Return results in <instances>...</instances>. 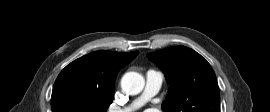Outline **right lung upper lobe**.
I'll use <instances>...</instances> for the list:
<instances>
[{
	"mask_svg": "<svg viewBox=\"0 0 270 112\" xmlns=\"http://www.w3.org/2000/svg\"><path fill=\"white\" fill-rule=\"evenodd\" d=\"M137 55V51L118 53L102 50L78 58L60 72L52 94L64 88H73L89 94L113 96L119 70Z\"/></svg>",
	"mask_w": 270,
	"mask_h": 112,
	"instance_id": "obj_1",
	"label": "right lung upper lobe"
}]
</instances>
